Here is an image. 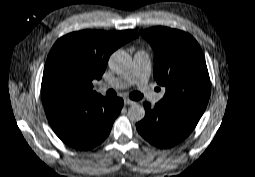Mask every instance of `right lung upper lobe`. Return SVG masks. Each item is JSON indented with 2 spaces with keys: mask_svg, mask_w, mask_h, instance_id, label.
<instances>
[{
  "mask_svg": "<svg viewBox=\"0 0 255 177\" xmlns=\"http://www.w3.org/2000/svg\"><path fill=\"white\" fill-rule=\"evenodd\" d=\"M138 36L134 30H84L61 37L45 64L41 84L43 104L51 103L50 91L65 82L74 85L77 99L97 94L93 91L92 80L101 78L110 55L117 48Z\"/></svg>",
  "mask_w": 255,
  "mask_h": 177,
  "instance_id": "right-lung-upper-lobe-1",
  "label": "right lung upper lobe"
}]
</instances>
